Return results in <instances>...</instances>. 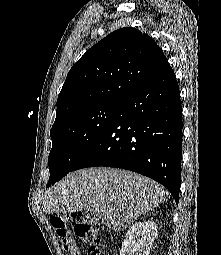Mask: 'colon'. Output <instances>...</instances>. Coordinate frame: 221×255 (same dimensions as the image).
Wrapping results in <instances>:
<instances>
[{
	"mask_svg": "<svg viewBox=\"0 0 221 255\" xmlns=\"http://www.w3.org/2000/svg\"><path fill=\"white\" fill-rule=\"evenodd\" d=\"M50 222L65 253L80 255L69 228V224H72L74 233L88 244L89 255H99L100 223L97 219L80 213L54 214L50 217Z\"/></svg>",
	"mask_w": 221,
	"mask_h": 255,
	"instance_id": "5ec220e1",
	"label": "colon"
}]
</instances>
